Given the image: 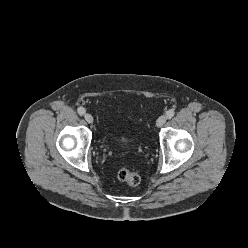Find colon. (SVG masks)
Here are the masks:
<instances>
[{
    "label": "colon",
    "instance_id": "colon-1",
    "mask_svg": "<svg viewBox=\"0 0 248 248\" xmlns=\"http://www.w3.org/2000/svg\"><path fill=\"white\" fill-rule=\"evenodd\" d=\"M117 178L130 186H137L141 182V176L133 171H129L125 168L117 169Z\"/></svg>",
    "mask_w": 248,
    "mask_h": 248
}]
</instances>
